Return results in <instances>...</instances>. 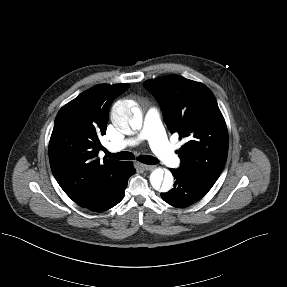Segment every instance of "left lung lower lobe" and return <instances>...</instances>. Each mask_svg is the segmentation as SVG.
Listing matches in <instances>:
<instances>
[{"instance_id": "0a47b994", "label": "left lung lower lobe", "mask_w": 287, "mask_h": 287, "mask_svg": "<svg viewBox=\"0 0 287 287\" xmlns=\"http://www.w3.org/2000/svg\"><path fill=\"white\" fill-rule=\"evenodd\" d=\"M174 179V188L161 193L162 199L171 206L184 208L197 202L211 188L201 183L193 174L183 169H170Z\"/></svg>"}]
</instances>
